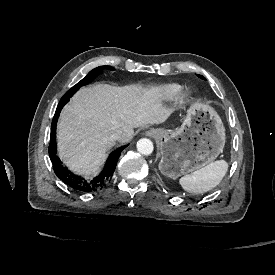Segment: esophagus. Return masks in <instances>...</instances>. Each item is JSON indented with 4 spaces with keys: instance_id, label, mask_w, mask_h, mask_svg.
<instances>
[{
    "instance_id": "obj_1",
    "label": "esophagus",
    "mask_w": 275,
    "mask_h": 275,
    "mask_svg": "<svg viewBox=\"0 0 275 275\" xmlns=\"http://www.w3.org/2000/svg\"><path fill=\"white\" fill-rule=\"evenodd\" d=\"M145 135L148 137H157L158 136V132L155 129H151L145 132Z\"/></svg>"
}]
</instances>
